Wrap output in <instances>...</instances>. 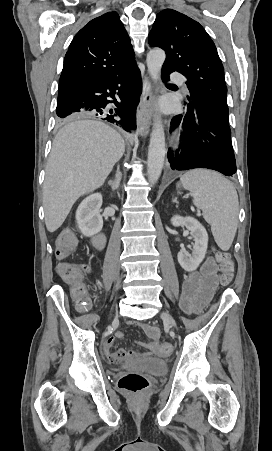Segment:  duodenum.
Wrapping results in <instances>:
<instances>
[{
    "mask_svg": "<svg viewBox=\"0 0 272 451\" xmlns=\"http://www.w3.org/2000/svg\"><path fill=\"white\" fill-rule=\"evenodd\" d=\"M93 245L101 250L105 245V236L103 234L96 235L92 238Z\"/></svg>",
    "mask_w": 272,
    "mask_h": 451,
    "instance_id": "obj_1",
    "label": "duodenum"
}]
</instances>
